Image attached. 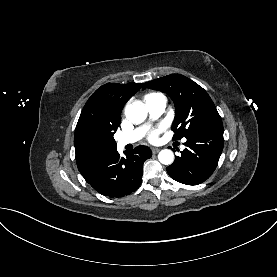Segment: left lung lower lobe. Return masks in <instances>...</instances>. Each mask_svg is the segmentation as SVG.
Listing matches in <instances>:
<instances>
[{
	"mask_svg": "<svg viewBox=\"0 0 277 277\" xmlns=\"http://www.w3.org/2000/svg\"><path fill=\"white\" fill-rule=\"evenodd\" d=\"M181 157L167 167L170 177L187 185H198L214 172L224 146L223 127L203 130L188 138Z\"/></svg>",
	"mask_w": 277,
	"mask_h": 277,
	"instance_id": "left-lung-lower-lobe-1",
	"label": "left lung lower lobe"
}]
</instances>
